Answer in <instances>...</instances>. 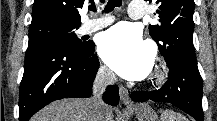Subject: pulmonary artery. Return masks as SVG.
<instances>
[{
	"instance_id": "obj_1",
	"label": "pulmonary artery",
	"mask_w": 217,
	"mask_h": 121,
	"mask_svg": "<svg viewBox=\"0 0 217 121\" xmlns=\"http://www.w3.org/2000/svg\"><path fill=\"white\" fill-rule=\"evenodd\" d=\"M147 7L142 2L132 1L129 5L128 15L132 19H138L146 14ZM114 17L105 15L98 19L86 21L80 28L82 34H88L98 31L114 21Z\"/></svg>"
}]
</instances>
